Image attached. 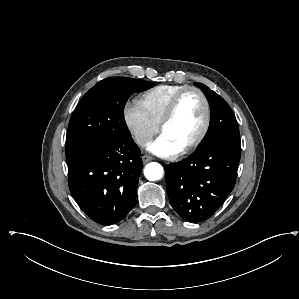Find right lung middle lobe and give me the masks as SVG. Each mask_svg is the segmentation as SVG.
<instances>
[{
	"label": "right lung middle lobe",
	"instance_id": "right-lung-middle-lobe-1",
	"mask_svg": "<svg viewBox=\"0 0 299 299\" xmlns=\"http://www.w3.org/2000/svg\"><path fill=\"white\" fill-rule=\"evenodd\" d=\"M152 82L110 77L98 82L82 98L69 122L66 137L68 165L104 145L131 139L124 106L133 92L150 89Z\"/></svg>",
	"mask_w": 299,
	"mask_h": 299
}]
</instances>
